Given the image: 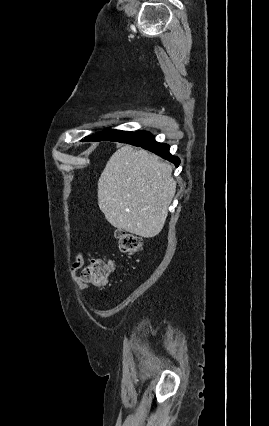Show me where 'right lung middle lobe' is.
<instances>
[{
    "label": "right lung middle lobe",
    "mask_w": 269,
    "mask_h": 426,
    "mask_svg": "<svg viewBox=\"0 0 269 426\" xmlns=\"http://www.w3.org/2000/svg\"><path fill=\"white\" fill-rule=\"evenodd\" d=\"M131 134H132V132L107 129V130L100 132L98 134L87 136L85 138V141H102V140L117 141V140L125 139L126 137H128Z\"/></svg>",
    "instance_id": "dd1d6c3e"
}]
</instances>
